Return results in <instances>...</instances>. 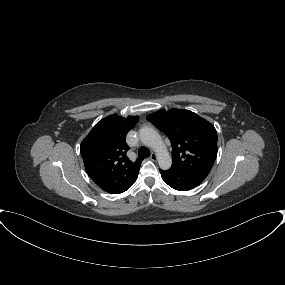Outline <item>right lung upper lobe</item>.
I'll return each mask as SVG.
<instances>
[{"label": "right lung upper lobe", "mask_w": 285, "mask_h": 285, "mask_svg": "<svg viewBox=\"0 0 285 285\" xmlns=\"http://www.w3.org/2000/svg\"><path fill=\"white\" fill-rule=\"evenodd\" d=\"M139 117L110 115L99 121L82 141L80 152L90 178L104 191L119 194L137 179L143 159L131 162L126 135Z\"/></svg>", "instance_id": "right-lung-upper-lobe-1"}]
</instances>
